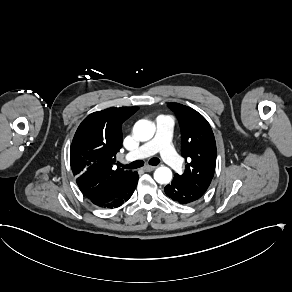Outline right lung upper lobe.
I'll list each match as a JSON object with an SVG mask.
<instances>
[{"mask_svg":"<svg viewBox=\"0 0 292 292\" xmlns=\"http://www.w3.org/2000/svg\"><path fill=\"white\" fill-rule=\"evenodd\" d=\"M138 107L108 108L88 115L70 146L71 169L81 192L97 203L108 198L134 172L114 167L122 147V123Z\"/></svg>","mask_w":292,"mask_h":292,"instance_id":"obj_1","label":"right lung upper lobe"}]
</instances>
